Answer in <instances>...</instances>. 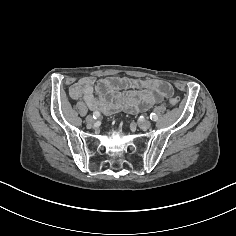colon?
<instances>
[{
	"instance_id": "obj_1",
	"label": "colon",
	"mask_w": 236,
	"mask_h": 236,
	"mask_svg": "<svg viewBox=\"0 0 236 236\" xmlns=\"http://www.w3.org/2000/svg\"><path fill=\"white\" fill-rule=\"evenodd\" d=\"M180 102V98L179 97H173L170 99L169 103L171 106H177Z\"/></svg>"
}]
</instances>
